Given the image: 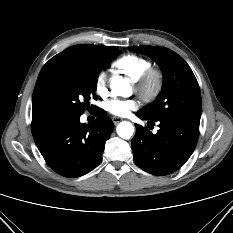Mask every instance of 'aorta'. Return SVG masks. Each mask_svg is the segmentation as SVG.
Masks as SVG:
<instances>
[{
    "label": "aorta",
    "instance_id": "aorta-1",
    "mask_svg": "<svg viewBox=\"0 0 233 233\" xmlns=\"http://www.w3.org/2000/svg\"><path fill=\"white\" fill-rule=\"evenodd\" d=\"M110 87L118 96H128L131 87L126 79L122 76H116L111 80ZM134 132V128L130 122L123 121L117 126V134L123 139H129Z\"/></svg>",
    "mask_w": 233,
    "mask_h": 233
}]
</instances>
